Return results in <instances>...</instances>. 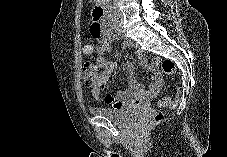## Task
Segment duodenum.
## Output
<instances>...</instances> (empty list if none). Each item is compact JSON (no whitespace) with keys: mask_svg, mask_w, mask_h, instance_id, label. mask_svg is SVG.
Instances as JSON below:
<instances>
[{"mask_svg":"<svg viewBox=\"0 0 227 157\" xmlns=\"http://www.w3.org/2000/svg\"><path fill=\"white\" fill-rule=\"evenodd\" d=\"M106 3L99 4L95 10L96 16H91V21H94L92 25V32H109L110 27L105 22Z\"/></svg>","mask_w":227,"mask_h":157,"instance_id":"1","label":"duodenum"}]
</instances>
